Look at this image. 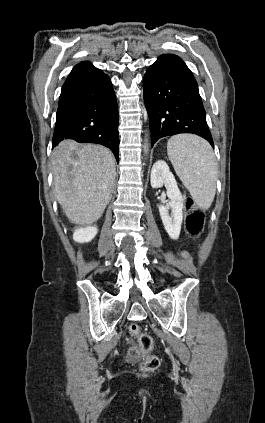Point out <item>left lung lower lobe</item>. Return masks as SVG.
I'll return each instance as SVG.
<instances>
[{
    "instance_id": "left-lung-lower-lobe-1",
    "label": "left lung lower lobe",
    "mask_w": 265,
    "mask_h": 423,
    "mask_svg": "<svg viewBox=\"0 0 265 423\" xmlns=\"http://www.w3.org/2000/svg\"><path fill=\"white\" fill-rule=\"evenodd\" d=\"M143 96L152 146L165 136L193 133L214 147L197 82L180 57L162 55L148 68L143 78Z\"/></svg>"
}]
</instances>
